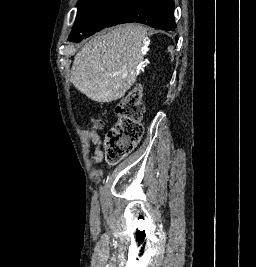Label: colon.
<instances>
[{
	"label": "colon",
	"instance_id": "5ec220e1",
	"mask_svg": "<svg viewBox=\"0 0 256 267\" xmlns=\"http://www.w3.org/2000/svg\"><path fill=\"white\" fill-rule=\"evenodd\" d=\"M141 93L142 89L136 87L116 104L117 123L105 139L107 159L110 162L123 159L142 136L140 120L144 113V106ZM92 126L94 131H101L105 127V120L95 117L92 119Z\"/></svg>",
	"mask_w": 256,
	"mask_h": 267
}]
</instances>
